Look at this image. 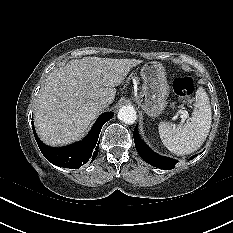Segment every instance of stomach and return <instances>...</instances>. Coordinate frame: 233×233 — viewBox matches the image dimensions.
I'll use <instances>...</instances> for the list:
<instances>
[{
    "label": "stomach",
    "instance_id": "0dacf381",
    "mask_svg": "<svg viewBox=\"0 0 233 233\" xmlns=\"http://www.w3.org/2000/svg\"><path fill=\"white\" fill-rule=\"evenodd\" d=\"M141 77L142 89L135 99L149 117L156 118L167 106L169 95L165 68L159 62H147L141 69Z\"/></svg>",
    "mask_w": 233,
    "mask_h": 233
}]
</instances>
